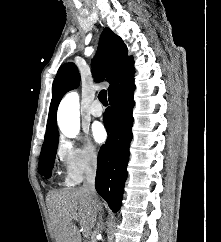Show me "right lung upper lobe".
Listing matches in <instances>:
<instances>
[{
	"instance_id": "obj_1",
	"label": "right lung upper lobe",
	"mask_w": 221,
	"mask_h": 242,
	"mask_svg": "<svg viewBox=\"0 0 221 242\" xmlns=\"http://www.w3.org/2000/svg\"><path fill=\"white\" fill-rule=\"evenodd\" d=\"M92 69L96 82L105 78L110 83L109 95L124 78L134 74V61L131 56H127L126 45L109 28H105L101 34ZM79 82L80 75L74 63H66L59 68L52 86V100L44 139L59 135L56 121L59 102L66 92L77 88Z\"/></svg>"
}]
</instances>
